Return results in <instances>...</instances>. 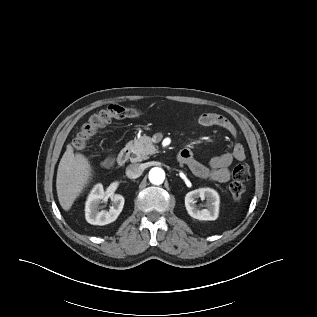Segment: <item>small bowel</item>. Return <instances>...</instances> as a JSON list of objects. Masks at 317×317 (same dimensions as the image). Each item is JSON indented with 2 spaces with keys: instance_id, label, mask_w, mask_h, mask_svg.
<instances>
[{
  "instance_id": "obj_1",
  "label": "small bowel",
  "mask_w": 317,
  "mask_h": 317,
  "mask_svg": "<svg viewBox=\"0 0 317 317\" xmlns=\"http://www.w3.org/2000/svg\"><path fill=\"white\" fill-rule=\"evenodd\" d=\"M198 121L202 126L220 127L234 137L237 135L235 125L227 117L221 114L212 112L203 113L199 116ZM182 151L184 157L181 163L187 165L195 176L219 183L229 181L231 174L230 166L232 163L234 161H244L246 157L245 149L240 143H236L229 152L212 157L207 165L196 160L190 149L185 148ZM110 159L112 158H109L108 160Z\"/></svg>"
}]
</instances>
